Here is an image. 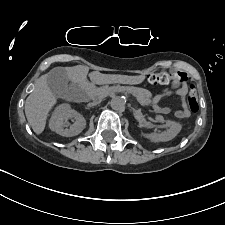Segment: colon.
I'll return each mask as SVG.
<instances>
[{"mask_svg":"<svg viewBox=\"0 0 225 225\" xmlns=\"http://www.w3.org/2000/svg\"><path fill=\"white\" fill-rule=\"evenodd\" d=\"M147 80L150 84H169L172 83L175 86H181L186 83V77L182 73H151L148 75ZM188 107L191 112L195 113L199 110V102L197 98V93L194 87L189 91L187 97Z\"/></svg>","mask_w":225,"mask_h":225,"instance_id":"colon-1","label":"colon"}]
</instances>
